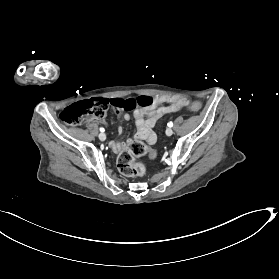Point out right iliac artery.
<instances>
[{"label":"right iliac artery","instance_id":"82829eb1","mask_svg":"<svg viewBox=\"0 0 279 279\" xmlns=\"http://www.w3.org/2000/svg\"><path fill=\"white\" fill-rule=\"evenodd\" d=\"M100 131H101V132H104L105 130H104V128L101 127V128H100Z\"/></svg>","mask_w":279,"mask_h":279}]
</instances>
